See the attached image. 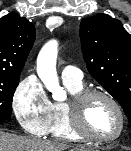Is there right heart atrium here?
<instances>
[{
	"label": "right heart atrium",
	"instance_id": "right-heart-atrium-1",
	"mask_svg": "<svg viewBox=\"0 0 131 151\" xmlns=\"http://www.w3.org/2000/svg\"><path fill=\"white\" fill-rule=\"evenodd\" d=\"M11 103L17 121L26 132L34 136L46 134L51 119V101L34 75L18 83Z\"/></svg>",
	"mask_w": 131,
	"mask_h": 151
}]
</instances>
